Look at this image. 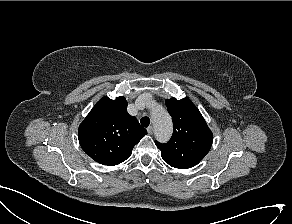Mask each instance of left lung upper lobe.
<instances>
[{
    "instance_id": "obj_1",
    "label": "left lung upper lobe",
    "mask_w": 292,
    "mask_h": 224,
    "mask_svg": "<svg viewBox=\"0 0 292 224\" xmlns=\"http://www.w3.org/2000/svg\"><path fill=\"white\" fill-rule=\"evenodd\" d=\"M173 121V135L168 143L156 141L163 160L170 166L187 169L198 164L211 148L213 135L197 107L183 98L166 100Z\"/></svg>"
}]
</instances>
